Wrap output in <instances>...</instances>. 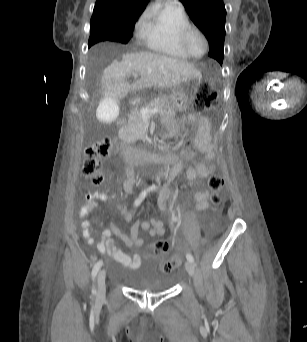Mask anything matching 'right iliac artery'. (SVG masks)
<instances>
[{"label":"right iliac artery","instance_id":"right-iliac-artery-1","mask_svg":"<svg viewBox=\"0 0 307 342\" xmlns=\"http://www.w3.org/2000/svg\"><path fill=\"white\" fill-rule=\"evenodd\" d=\"M148 191H149V190H144V191L139 195V197L135 200V203H134L135 206L140 205V203L143 201V199H144L145 196L147 195ZM102 264H103L102 260H99V261L94 265V267H93V269H92V278H93V280L95 279V277H96V275H97L99 269L101 268ZM92 293H93V294L96 293L95 287H93Z\"/></svg>","mask_w":307,"mask_h":342}]
</instances>
